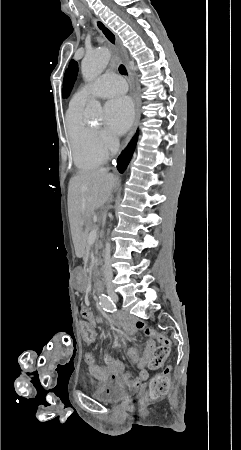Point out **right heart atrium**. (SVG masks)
<instances>
[{
    "instance_id": "d8ad5b80",
    "label": "right heart atrium",
    "mask_w": 241,
    "mask_h": 450,
    "mask_svg": "<svg viewBox=\"0 0 241 450\" xmlns=\"http://www.w3.org/2000/svg\"><path fill=\"white\" fill-rule=\"evenodd\" d=\"M96 134H97V132L96 131H94ZM101 141V140H100ZM103 144H105V145H108V146H113L114 145V140L111 138V137H109L108 136V139H107V141H101ZM102 150L104 151V153L106 154V153H108V150L107 149H105L104 147L102 148Z\"/></svg>"
}]
</instances>
